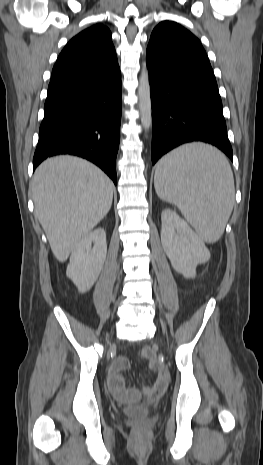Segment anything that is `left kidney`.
<instances>
[{
	"label": "left kidney",
	"mask_w": 263,
	"mask_h": 465,
	"mask_svg": "<svg viewBox=\"0 0 263 465\" xmlns=\"http://www.w3.org/2000/svg\"><path fill=\"white\" fill-rule=\"evenodd\" d=\"M161 222V242L172 267L184 277L194 278L197 265L210 258L203 240L171 209L162 211Z\"/></svg>",
	"instance_id": "1"
}]
</instances>
